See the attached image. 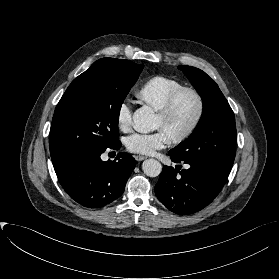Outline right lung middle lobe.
Masks as SVG:
<instances>
[{
  "label": "right lung middle lobe",
  "mask_w": 279,
  "mask_h": 279,
  "mask_svg": "<svg viewBox=\"0 0 279 279\" xmlns=\"http://www.w3.org/2000/svg\"><path fill=\"white\" fill-rule=\"evenodd\" d=\"M142 69L129 60L102 58L72 81L52 119V161L119 141L120 109Z\"/></svg>",
  "instance_id": "dd1d6c3e"
}]
</instances>
